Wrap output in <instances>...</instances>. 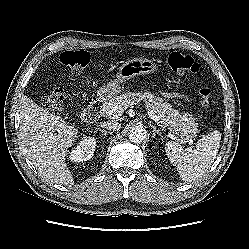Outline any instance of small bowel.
Masks as SVG:
<instances>
[{
	"instance_id": "c3829d8e",
	"label": "small bowel",
	"mask_w": 249,
	"mask_h": 249,
	"mask_svg": "<svg viewBox=\"0 0 249 249\" xmlns=\"http://www.w3.org/2000/svg\"><path fill=\"white\" fill-rule=\"evenodd\" d=\"M169 97H175V98H184V95L178 94V93H169L167 94Z\"/></svg>"
}]
</instances>
